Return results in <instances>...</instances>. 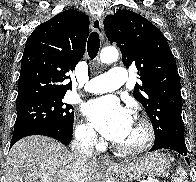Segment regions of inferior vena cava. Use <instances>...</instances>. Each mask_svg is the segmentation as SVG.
Here are the masks:
<instances>
[{
    "label": "inferior vena cava",
    "instance_id": "inferior-vena-cava-1",
    "mask_svg": "<svg viewBox=\"0 0 196 182\" xmlns=\"http://www.w3.org/2000/svg\"><path fill=\"white\" fill-rule=\"evenodd\" d=\"M95 140V133L88 131L77 135L72 141V182H84L87 163L93 156Z\"/></svg>",
    "mask_w": 196,
    "mask_h": 182
}]
</instances>
